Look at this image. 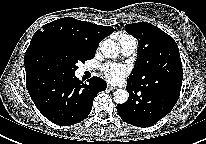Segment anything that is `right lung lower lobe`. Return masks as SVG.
Masks as SVG:
<instances>
[{
    "label": "right lung lower lobe",
    "mask_w": 206,
    "mask_h": 144,
    "mask_svg": "<svg viewBox=\"0 0 206 144\" xmlns=\"http://www.w3.org/2000/svg\"><path fill=\"white\" fill-rule=\"evenodd\" d=\"M88 82H81L75 74L39 72L26 75L27 90L37 109L61 126L84 120L91 112L97 93L107 88L106 82L99 77H92Z\"/></svg>",
    "instance_id": "98d812e1"
}]
</instances>
